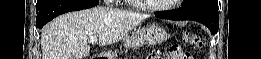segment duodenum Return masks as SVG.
Returning a JSON list of instances; mask_svg holds the SVG:
<instances>
[{
    "instance_id": "1",
    "label": "duodenum",
    "mask_w": 261,
    "mask_h": 59,
    "mask_svg": "<svg viewBox=\"0 0 261 59\" xmlns=\"http://www.w3.org/2000/svg\"><path fill=\"white\" fill-rule=\"evenodd\" d=\"M108 57L105 54H94L91 59H107Z\"/></svg>"
}]
</instances>
